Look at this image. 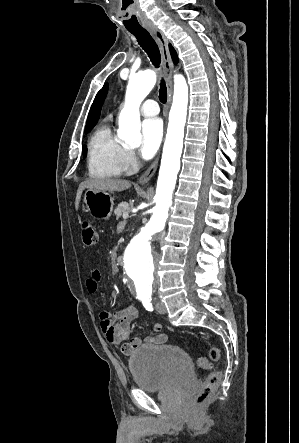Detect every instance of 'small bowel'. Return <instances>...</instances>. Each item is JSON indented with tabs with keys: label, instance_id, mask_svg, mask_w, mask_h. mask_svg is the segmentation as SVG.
Returning a JSON list of instances; mask_svg holds the SVG:
<instances>
[{
	"label": "small bowel",
	"instance_id": "obj_1",
	"mask_svg": "<svg viewBox=\"0 0 299 443\" xmlns=\"http://www.w3.org/2000/svg\"><path fill=\"white\" fill-rule=\"evenodd\" d=\"M100 282L101 272L97 269L92 270L86 280V290L88 293H96L99 289ZM137 317V309L131 305L125 306L114 313L107 311L99 312L101 330L107 341L113 345L122 344L121 350L124 354H129L142 346L163 344L168 339L165 333H160L163 329V325L160 323H156L153 326V330L157 333L155 335L144 338L138 336L131 337V325Z\"/></svg>",
	"mask_w": 299,
	"mask_h": 443
}]
</instances>
